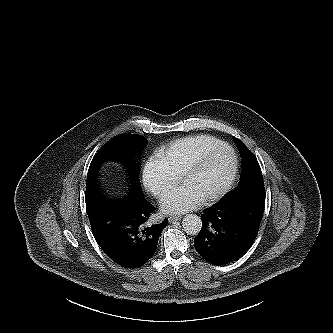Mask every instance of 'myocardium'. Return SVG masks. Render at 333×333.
Instances as JSON below:
<instances>
[{"label":"myocardium","mask_w":333,"mask_h":333,"mask_svg":"<svg viewBox=\"0 0 333 333\" xmlns=\"http://www.w3.org/2000/svg\"><path fill=\"white\" fill-rule=\"evenodd\" d=\"M222 149L229 150V152L231 154V157H232L231 170H230L227 178L223 182V184L217 190H215L211 194L202 198L203 201L206 203L215 201V200L223 197L231 189V187L237 177L238 170H239V157H238V154H237L236 150L234 149V147L227 142H223L219 145H216V146L204 151L197 158H195L180 174V179L182 181H184L186 178H188L189 176L193 175L198 170H200L203 167V165L213 155H215Z\"/></svg>","instance_id":"1"}]
</instances>
